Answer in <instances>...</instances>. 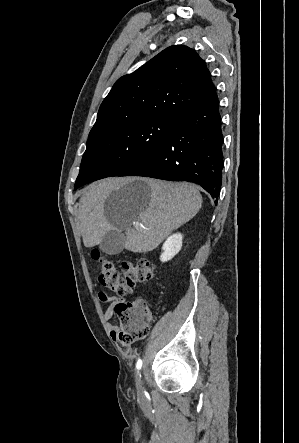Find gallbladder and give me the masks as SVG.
<instances>
[{
  "label": "gallbladder",
  "instance_id": "bac80fb5",
  "mask_svg": "<svg viewBox=\"0 0 299 443\" xmlns=\"http://www.w3.org/2000/svg\"><path fill=\"white\" fill-rule=\"evenodd\" d=\"M125 235L122 232H108L102 239L99 248L108 255H116L123 251Z\"/></svg>",
  "mask_w": 299,
  "mask_h": 443
}]
</instances>
